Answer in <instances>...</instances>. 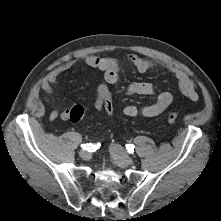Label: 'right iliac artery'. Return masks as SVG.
<instances>
[{
  "instance_id": "1",
  "label": "right iliac artery",
  "mask_w": 221,
  "mask_h": 221,
  "mask_svg": "<svg viewBox=\"0 0 221 221\" xmlns=\"http://www.w3.org/2000/svg\"><path fill=\"white\" fill-rule=\"evenodd\" d=\"M81 147L83 148V150H88V152H90V151H95L97 148H99L100 144L87 143V144H82Z\"/></svg>"
}]
</instances>
